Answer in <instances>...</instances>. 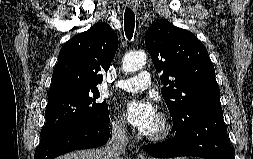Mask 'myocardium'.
<instances>
[{
  "label": "myocardium",
  "instance_id": "myocardium-1",
  "mask_svg": "<svg viewBox=\"0 0 253 159\" xmlns=\"http://www.w3.org/2000/svg\"><path fill=\"white\" fill-rule=\"evenodd\" d=\"M173 131V125L170 118L163 112L158 115V128L156 131L147 134V139L151 141H162L166 139Z\"/></svg>",
  "mask_w": 253,
  "mask_h": 159
}]
</instances>
